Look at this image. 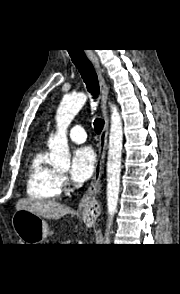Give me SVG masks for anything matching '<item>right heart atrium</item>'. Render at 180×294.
<instances>
[{"mask_svg": "<svg viewBox=\"0 0 180 294\" xmlns=\"http://www.w3.org/2000/svg\"><path fill=\"white\" fill-rule=\"evenodd\" d=\"M57 181H58L60 189L64 188L68 184L67 177L63 174L57 175Z\"/></svg>", "mask_w": 180, "mask_h": 294, "instance_id": "obj_1", "label": "right heart atrium"}]
</instances>
